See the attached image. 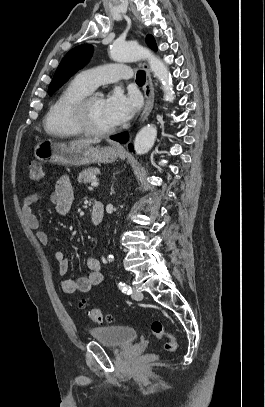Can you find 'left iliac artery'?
<instances>
[{
    "label": "left iliac artery",
    "mask_w": 265,
    "mask_h": 407,
    "mask_svg": "<svg viewBox=\"0 0 265 407\" xmlns=\"http://www.w3.org/2000/svg\"><path fill=\"white\" fill-rule=\"evenodd\" d=\"M119 288L122 290V292L126 293V294H131L132 293V289L130 286H128L125 283L120 282L119 283Z\"/></svg>",
    "instance_id": "obj_1"
}]
</instances>
